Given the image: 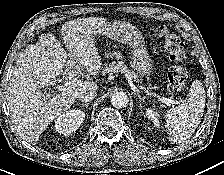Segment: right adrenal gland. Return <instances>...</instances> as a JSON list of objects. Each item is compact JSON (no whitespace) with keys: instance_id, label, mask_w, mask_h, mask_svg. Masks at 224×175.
<instances>
[{"instance_id":"right-adrenal-gland-1","label":"right adrenal gland","mask_w":224,"mask_h":175,"mask_svg":"<svg viewBox=\"0 0 224 175\" xmlns=\"http://www.w3.org/2000/svg\"><path fill=\"white\" fill-rule=\"evenodd\" d=\"M78 105L85 106L86 108H88V106L90 105V101L89 102H84V103H78Z\"/></svg>"}]
</instances>
